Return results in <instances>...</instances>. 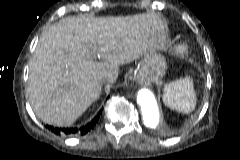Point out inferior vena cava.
I'll use <instances>...</instances> for the list:
<instances>
[{
  "instance_id": "1",
  "label": "inferior vena cava",
  "mask_w": 240,
  "mask_h": 160,
  "mask_svg": "<svg viewBox=\"0 0 240 160\" xmlns=\"http://www.w3.org/2000/svg\"><path fill=\"white\" fill-rule=\"evenodd\" d=\"M107 81H110V78L109 77H104L103 82H107Z\"/></svg>"
}]
</instances>
